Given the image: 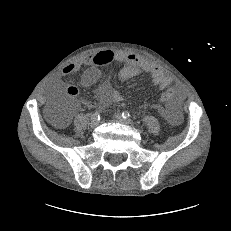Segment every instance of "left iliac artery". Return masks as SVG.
I'll list each match as a JSON object with an SVG mask.
<instances>
[{
	"mask_svg": "<svg viewBox=\"0 0 231 231\" xmlns=\"http://www.w3.org/2000/svg\"><path fill=\"white\" fill-rule=\"evenodd\" d=\"M122 117H123L124 119L130 120L131 115H130V113H129L128 111H124V112L122 113Z\"/></svg>",
	"mask_w": 231,
	"mask_h": 231,
	"instance_id": "obj_1",
	"label": "left iliac artery"
}]
</instances>
